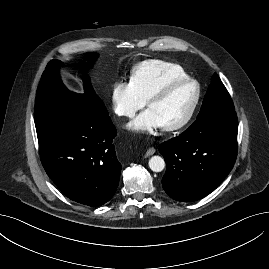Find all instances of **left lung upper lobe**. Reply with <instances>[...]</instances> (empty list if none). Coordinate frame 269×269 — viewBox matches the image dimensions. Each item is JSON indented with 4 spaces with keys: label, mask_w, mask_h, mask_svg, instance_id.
I'll return each instance as SVG.
<instances>
[{
    "label": "left lung upper lobe",
    "mask_w": 269,
    "mask_h": 269,
    "mask_svg": "<svg viewBox=\"0 0 269 269\" xmlns=\"http://www.w3.org/2000/svg\"><path fill=\"white\" fill-rule=\"evenodd\" d=\"M231 112H235L232 99L219 76L214 73L197 119Z\"/></svg>",
    "instance_id": "1"
}]
</instances>
